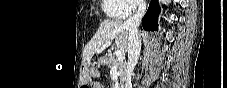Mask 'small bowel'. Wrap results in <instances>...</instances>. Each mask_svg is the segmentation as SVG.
<instances>
[{
	"label": "small bowel",
	"mask_w": 227,
	"mask_h": 88,
	"mask_svg": "<svg viewBox=\"0 0 227 88\" xmlns=\"http://www.w3.org/2000/svg\"><path fill=\"white\" fill-rule=\"evenodd\" d=\"M94 88H102L103 86L100 83H95L93 85Z\"/></svg>",
	"instance_id": "1"
}]
</instances>
